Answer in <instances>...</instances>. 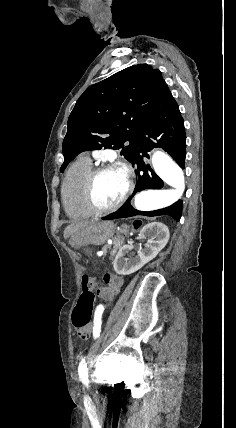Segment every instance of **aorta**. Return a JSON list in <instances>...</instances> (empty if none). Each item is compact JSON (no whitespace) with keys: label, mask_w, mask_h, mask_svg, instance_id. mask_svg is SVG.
Listing matches in <instances>:
<instances>
[{"label":"aorta","mask_w":236,"mask_h":428,"mask_svg":"<svg viewBox=\"0 0 236 428\" xmlns=\"http://www.w3.org/2000/svg\"><path fill=\"white\" fill-rule=\"evenodd\" d=\"M151 160L157 176L173 189L147 190L138 193L135 196L134 205L137 210L143 212H153L169 207L179 200L185 189L182 169L166 153L156 151Z\"/></svg>","instance_id":"1"}]
</instances>
